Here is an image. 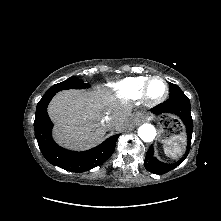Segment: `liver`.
Masks as SVG:
<instances>
[{
	"mask_svg": "<svg viewBox=\"0 0 221 221\" xmlns=\"http://www.w3.org/2000/svg\"><path fill=\"white\" fill-rule=\"evenodd\" d=\"M48 113L55 123L56 141L64 147L83 150L100 143L108 130L127 129L132 107L116 100L104 89L66 90L56 94L48 106ZM104 116L113 119L111 128L101 124Z\"/></svg>",
	"mask_w": 221,
	"mask_h": 221,
	"instance_id": "6515ba94",
	"label": "liver"
}]
</instances>
